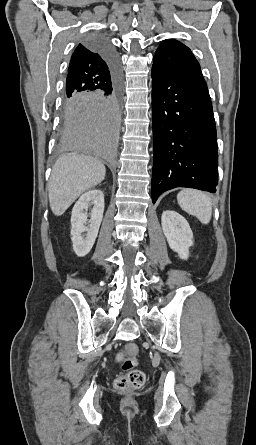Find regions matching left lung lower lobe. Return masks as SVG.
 Masks as SVG:
<instances>
[{"mask_svg": "<svg viewBox=\"0 0 256 445\" xmlns=\"http://www.w3.org/2000/svg\"><path fill=\"white\" fill-rule=\"evenodd\" d=\"M152 124L153 203L175 187L216 192L217 135L207 85L153 65Z\"/></svg>", "mask_w": 256, "mask_h": 445, "instance_id": "obj_1", "label": "left lung lower lobe"}]
</instances>
